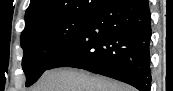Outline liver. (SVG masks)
Segmentation results:
<instances>
[{
	"mask_svg": "<svg viewBox=\"0 0 173 91\" xmlns=\"http://www.w3.org/2000/svg\"><path fill=\"white\" fill-rule=\"evenodd\" d=\"M29 91H134L131 86L76 68L47 70Z\"/></svg>",
	"mask_w": 173,
	"mask_h": 91,
	"instance_id": "obj_1",
	"label": "liver"
}]
</instances>
